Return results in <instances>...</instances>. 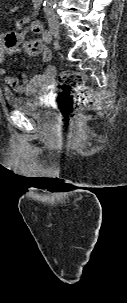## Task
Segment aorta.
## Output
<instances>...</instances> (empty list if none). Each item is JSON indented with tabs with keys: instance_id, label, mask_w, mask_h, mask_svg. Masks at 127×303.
I'll list each match as a JSON object with an SVG mask.
<instances>
[{
	"instance_id": "aorta-1",
	"label": "aorta",
	"mask_w": 127,
	"mask_h": 303,
	"mask_svg": "<svg viewBox=\"0 0 127 303\" xmlns=\"http://www.w3.org/2000/svg\"><path fill=\"white\" fill-rule=\"evenodd\" d=\"M57 0H45L44 5L46 7H53L56 4Z\"/></svg>"
}]
</instances>
